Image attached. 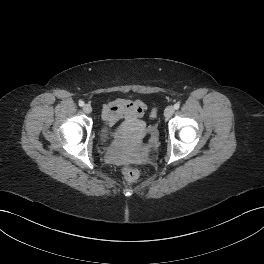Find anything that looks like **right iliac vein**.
Segmentation results:
<instances>
[{"label": "right iliac vein", "mask_w": 264, "mask_h": 264, "mask_svg": "<svg viewBox=\"0 0 264 264\" xmlns=\"http://www.w3.org/2000/svg\"><path fill=\"white\" fill-rule=\"evenodd\" d=\"M83 111L87 114L92 112V107L89 104L83 106Z\"/></svg>", "instance_id": "1"}]
</instances>
